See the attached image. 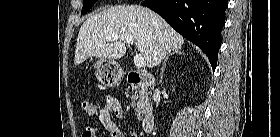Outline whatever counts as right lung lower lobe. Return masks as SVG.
Listing matches in <instances>:
<instances>
[{
  "instance_id": "right-lung-lower-lobe-1",
  "label": "right lung lower lobe",
  "mask_w": 280,
  "mask_h": 137,
  "mask_svg": "<svg viewBox=\"0 0 280 137\" xmlns=\"http://www.w3.org/2000/svg\"><path fill=\"white\" fill-rule=\"evenodd\" d=\"M143 5L202 49L216 68L227 0H145Z\"/></svg>"
}]
</instances>
